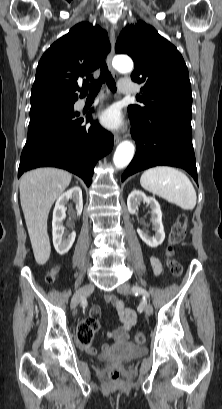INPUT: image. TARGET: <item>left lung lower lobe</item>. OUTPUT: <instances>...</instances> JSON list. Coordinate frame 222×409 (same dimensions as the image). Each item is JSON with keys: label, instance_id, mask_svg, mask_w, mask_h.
<instances>
[{"label": "left lung lower lobe", "instance_id": "left-lung-lower-lobe-1", "mask_svg": "<svg viewBox=\"0 0 222 409\" xmlns=\"http://www.w3.org/2000/svg\"><path fill=\"white\" fill-rule=\"evenodd\" d=\"M129 118L137 149L122 181L141 170L167 165L185 169L198 183L191 120L170 112L149 118L129 115Z\"/></svg>", "mask_w": 222, "mask_h": 409}]
</instances>
